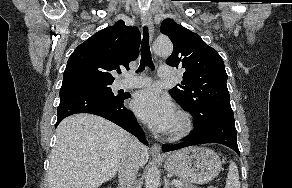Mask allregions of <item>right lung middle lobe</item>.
<instances>
[{
    "instance_id": "1",
    "label": "right lung middle lobe",
    "mask_w": 292,
    "mask_h": 188,
    "mask_svg": "<svg viewBox=\"0 0 292 188\" xmlns=\"http://www.w3.org/2000/svg\"><path fill=\"white\" fill-rule=\"evenodd\" d=\"M113 81L94 79V78H75L63 80L62 87H82L102 95L108 99L119 98L121 95H116L112 92L110 85Z\"/></svg>"
}]
</instances>
